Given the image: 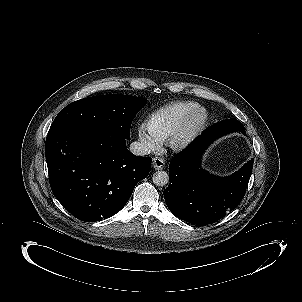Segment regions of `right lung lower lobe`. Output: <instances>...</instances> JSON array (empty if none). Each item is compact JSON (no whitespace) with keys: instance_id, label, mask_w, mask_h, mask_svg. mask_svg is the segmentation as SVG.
Returning <instances> with one entry per match:
<instances>
[{"instance_id":"obj_1","label":"right lung lower lobe","mask_w":302,"mask_h":302,"mask_svg":"<svg viewBox=\"0 0 302 302\" xmlns=\"http://www.w3.org/2000/svg\"><path fill=\"white\" fill-rule=\"evenodd\" d=\"M46 160L54 196L85 222L109 218L150 172L152 159L133 155L126 138L98 125L48 132Z\"/></svg>"}]
</instances>
